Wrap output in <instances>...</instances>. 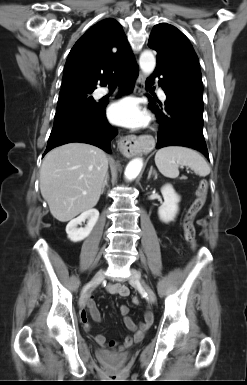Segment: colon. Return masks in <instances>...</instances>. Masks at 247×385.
I'll use <instances>...</instances> for the list:
<instances>
[{
    "instance_id": "1",
    "label": "colon",
    "mask_w": 247,
    "mask_h": 385,
    "mask_svg": "<svg viewBox=\"0 0 247 385\" xmlns=\"http://www.w3.org/2000/svg\"><path fill=\"white\" fill-rule=\"evenodd\" d=\"M207 192H208V183L207 181L203 180L200 182L198 186L195 200L189 207L184 217V221H183L184 238L192 249H195L197 246L196 239H195L196 230L194 226V219L205 204V201L207 198ZM133 302L134 304H138L139 302L138 298L135 297Z\"/></svg>"
}]
</instances>
